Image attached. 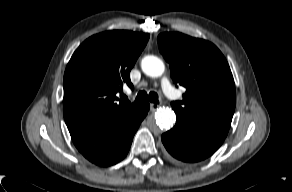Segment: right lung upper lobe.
Returning a JSON list of instances; mask_svg holds the SVG:
<instances>
[{"instance_id":"right-lung-upper-lobe-1","label":"right lung upper lobe","mask_w":292,"mask_h":192,"mask_svg":"<svg viewBox=\"0 0 292 192\" xmlns=\"http://www.w3.org/2000/svg\"><path fill=\"white\" fill-rule=\"evenodd\" d=\"M149 34L113 30L85 40L64 74L63 113L67 127L110 122L136 112L140 105L118 102L123 85L133 87L130 70Z\"/></svg>"}]
</instances>
